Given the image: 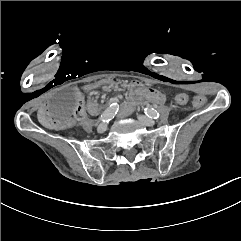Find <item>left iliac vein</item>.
I'll list each match as a JSON object with an SVG mask.
<instances>
[{"instance_id": "4c4485c4", "label": "left iliac vein", "mask_w": 241, "mask_h": 241, "mask_svg": "<svg viewBox=\"0 0 241 241\" xmlns=\"http://www.w3.org/2000/svg\"><path fill=\"white\" fill-rule=\"evenodd\" d=\"M138 120L145 126H154L156 124V122L153 119L143 115H139Z\"/></svg>"}]
</instances>
